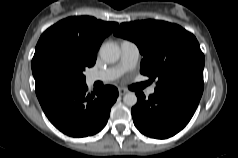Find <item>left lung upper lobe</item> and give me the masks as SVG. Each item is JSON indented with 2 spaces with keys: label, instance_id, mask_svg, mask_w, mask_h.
<instances>
[{
  "label": "left lung upper lobe",
  "instance_id": "5c2ea615",
  "mask_svg": "<svg viewBox=\"0 0 238 158\" xmlns=\"http://www.w3.org/2000/svg\"><path fill=\"white\" fill-rule=\"evenodd\" d=\"M114 35L136 43L143 55L140 72L156 88L191 79L203 80L205 63L195 36L179 25L158 20L122 23Z\"/></svg>",
  "mask_w": 238,
  "mask_h": 158
}]
</instances>
